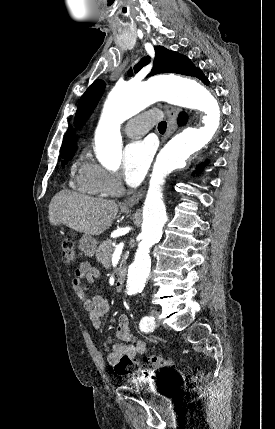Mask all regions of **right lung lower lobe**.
Wrapping results in <instances>:
<instances>
[{
	"mask_svg": "<svg viewBox=\"0 0 275 429\" xmlns=\"http://www.w3.org/2000/svg\"><path fill=\"white\" fill-rule=\"evenodd\" d=\"M186 121H187V115L185 113H181V115L179 116V123L182 125L186 123Z\"/></svg>",
	"mask_w": 275,
	"mask_h": 429,
	"instance_id": "obj_1",
	"label": "right lung lower lobe"
}]
</instances>
